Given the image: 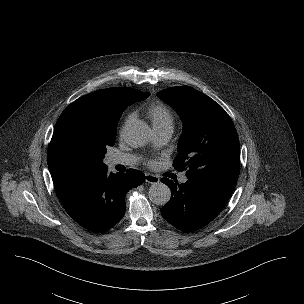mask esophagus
<instances>
[{
	"label": "esophagus",
	"mask_w": 304,
	"mask_h": 304,
	"mask_svg": "<svg viewBox=\"0 0 304 304\" xmlns=\"http://www.w3.org/2000/svg\"><path fill=\"white\" fill-rule=\"evenodd\" d=\"M145 181L150 184H156L159 183L160 179L155 175L147 173L145 174Z\"/></svg>",
	"instance_id": "34e87169"
}]
</instances>
